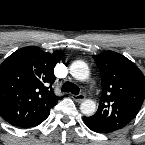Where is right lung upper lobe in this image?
<instances>
[{
	"label": "right lung upper lobe",
	"mask_w": 145,
	"mask_h": 145,
	"mask_svg": "<svg viewBox=\"0 0 145 145\" xmlns=\"http://www.w3.org/2000/svg\"><path fill=\"white\" fill-rule=\"evenodd\" d=\"M64 52L46 53L37 47L21 48L0 65V115L14 126L36 121L50 113L58 97L52 84L55 65Z\"/></svg>",
	"instance_id": "cb5924a9"
}]
</instances>
